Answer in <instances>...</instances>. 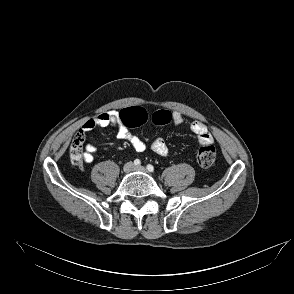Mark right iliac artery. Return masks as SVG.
Masks as SVG:
<instances>
[{
	"instance_id": "right-iliac-artery-1",
	"label": "right iliac artery",
	"mask_w": 294,
	"mask_h": 294,
	"mask_svg": "<svg viewBox=\"0 0 294 294\" xmlns=\"http://www.w3.org/2000/svg\"><path fill=\"white\" fill-rule=\"evenodd\" d=\"M134 164H135L136 166H139V165L141 164V162H140L139 159H136V160H134Z\"/></svg>"
}]
</instances>
